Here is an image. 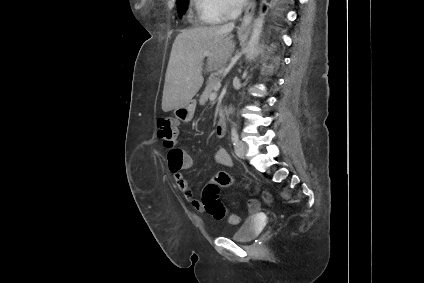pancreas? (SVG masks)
I'll list each match as a JSON object with an SVG mask.
<instances>
[{"label": "pancreas", "instance_id": "pancreas-1", "mask_svg": "<svg viewBox=\"0 0 424 283\" xmlns=\"http://www.w3.org/2000/svg\"><path fill=\"white\" fill-rule=\"evenodd\" d=\"M220 78L218 77H210L207 83V86L205 88V91L203 92V94L201 95L200 101L201 103H204L205 101L208 100V98L210 97V95L213 92V87L216 83L220 82Z\"/></svg>", "mask_w": 424, "mask_h": 283}]
</instances>
